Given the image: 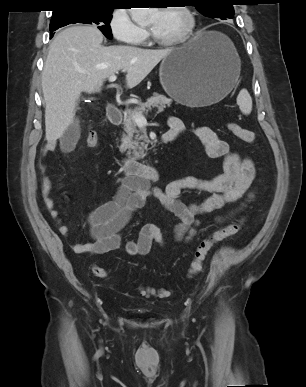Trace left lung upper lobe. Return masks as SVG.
<instances>
[{
  "label": "left lung upper lobe",
  "mask_w": 306,
  "mask_h": 387,
  "mask_svg": "<svg viewBox=\"0 0 306 387\" xmlns=\"http://www.w3.org/2000/svg\"><path fill=\"white\" fill-rule=\"evenodd\" d=\"M232 0H191L192 5L209 18H233L234 8L231 4Z\"/></svg>",
  "instance_id": "1"
}]
</instances>
